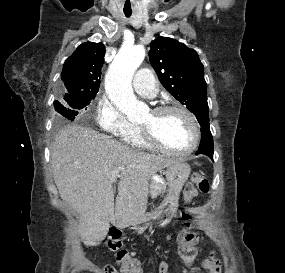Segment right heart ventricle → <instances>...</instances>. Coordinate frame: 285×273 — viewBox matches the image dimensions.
I'll return each mask as SVG.
<instances>
[{
  "label": "right heart ventricle",
  "instance_id": "1",
  "mask_svg": "<svg viewBox=\"0 0 285 273\" xmlns=\"http://www.w3.org/2000/svg\"><path fill=\"white\" fill-rule=\"evenodd\" d=\"M123 141L136 149H152L150 145H148L143 138L141 137L139 128H136L131 134L122 138Z\"/></svg>",
  "mask_w": 285,
  "mask_h": 273
}]
</instances>
